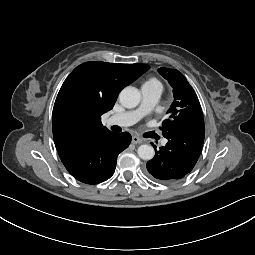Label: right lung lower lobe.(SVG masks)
I'll use <instances>...</instances> for the list:
<instances>
[{"instance_id":"1","label":"right lung lower lobe","mask_w":255,"mask_h":255,"mask_svg":"<svg viewBox=\"0 0 255 255\" xmlns=\"http://www.w3.org/2000/svg\"><path fill=\"white\" fill-rule=\"evenodd\" d=\"M130 142L128 132H107L78 140L58 149V153L74 178L86 184H98L114 174L117 156Z\"/></svg>"}]
</instances>
